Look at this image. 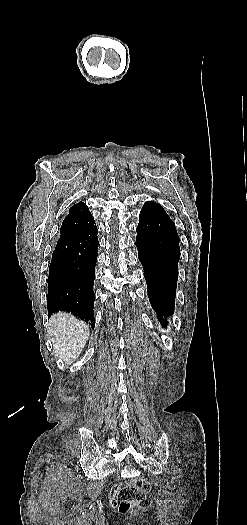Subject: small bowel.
Returning a JSON list of instances; mask_svg holds the SVG:
<instances>
[{"instance_id":"c3829d8e","label":"small bowel","mask_w":247,"mask_h":525,"mask_svg":"<svg viewBox=\"0 0 247 525\" xmlns=\"http://www.w3.org/2000/svg\"><path fill=\"white\" fill-rule=\"evenodd\" d=\"M117 486H118V483H115V485H113V486L111 487L110 494H111L112 496H115V495L117 494V490H118V487H117ZM110 500H112V501L110 502V505H111L110 510H111L112 512H115V511L117 510V507H116L117 502H116L115 500H113V497H110Z\"/></svg>"}]
</instances>
